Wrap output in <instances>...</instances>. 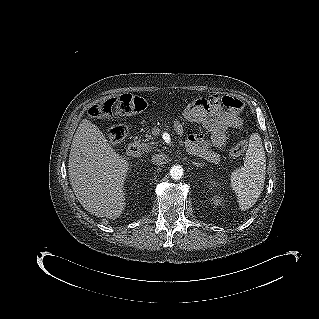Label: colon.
<instances>
[{
  "label": "colon",
  "instance_id": "obj_1",
  "mask_svg": "<svg viewBox=\"0 0 319 319\" xmlns=\"http://www.w3.org/2000/svg\"><path fill=\"white\" fill-rule=\"evenodd\" d=\"M209 105L220 104L225 108L239 111L243 108V102L231 96L212 95L207 99ZM146 102L143 98L132 95L122 94L120 96L111 97L100 103L90 107L89 115L94 119H106L117 116L127 115L131 113L141 112L145 109ZM128 133L127 126L117 124L112 126L108 132V139L112 144H117L122 141ZM247 149V142L240 141L234 148H232L231 156H241Z\"/></svg>",
  "mask_w": 319,
  "mask_h": 319
}]
</instances>
